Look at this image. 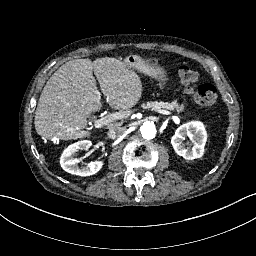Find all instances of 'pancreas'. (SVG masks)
Returning a JSON list of instances; mask_svg holds the SVG:
<instances>
[{"instance_id":"pancreas-1","label":"pancreas","mask_w":256,"mask_h":256,"mask_svg":"<svg viewBox=\"0 0 256 256\" xmlns=\"http://www.w3.org/2000/svg\"><path fill=\"white\" fill-rule=\"evenodd\" d=\"M147 107H151L154 109H159V108H163V109H167V110H174L176 109L177 111H182L184 109V105H178L177 101H173L171 103L168 102H148L147 103Z\"/></svg>"}]
</instances>
